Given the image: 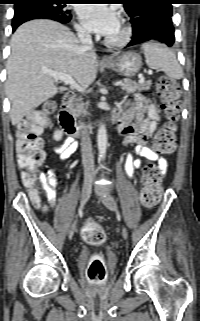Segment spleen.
<instances>
[{"label":"spleen","mask_w":200,"mask_h":321,"mask_svg":"<svg viewBox=\"0 0 200 321\" xmlns=\"http://www.w3.org/2000/svg\"><path fill=\"white\" fill-rule=\"evenodd\" d=\"M149 68L160 69L173 79H181L183 72L174 52L165 45L147 42L141 46Z\"/></svg>","instance_id":"obj_1"}]
</instances>
